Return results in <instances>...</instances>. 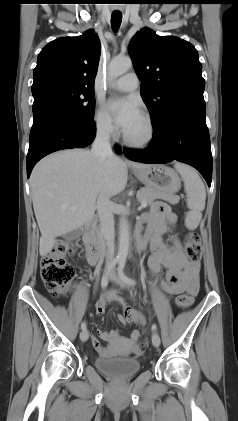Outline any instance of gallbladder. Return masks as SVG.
<instances>
[{
	"mask_svg": "<svg viewBox=\"0 0 238 421\" xmlns=\"http://www.w3.org/2000/svg\"><path fill=\"white\" fill-rule=\"evenodd\" d=\"M80 233H81V230H75V231H73V232H71V233H69V234H67L66 235V237L68 238V239H72V238H75V237H77L78 235H80Z\"/></svg>",
	"mask_w": 238,
	"mask_h": 421,
	"instance_id": "obj_1",
	"label": "gallbladder"
}]
</instances>
